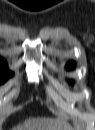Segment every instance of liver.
Segmentation results:
<instances>
[{"label": "liver", "instance_id": "liver-1", "mask_svg": "<svg viewBox=\"0 0 95 130\" xmlns=\"http://www.w3.org/2000/svg\"><path fill=\"white\" fill-rule=\"evenodd\" d=\"M56 121L49 118H37L30 119L26 122V124L22 127L24 129L17 130H55L56 129Z\"/></svg>", "mask_w": 95, "mask_h": 130}]
</instances>
